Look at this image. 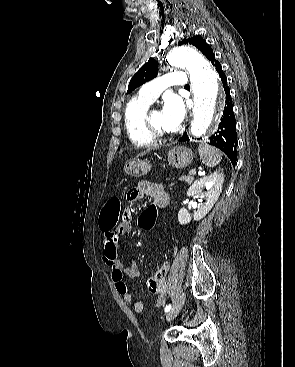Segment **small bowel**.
Listing matches in <instances>:
<instances>
[{
  "instance_id": "c3829d8e",
  "label": "small bowel",
  "mask_w": 295,
  "mask_h": 367,
  "mask_svg": "<svg viewBox=\"0 0 295 367\" xmlns=\"http://www.w3.org/2000/svg\"><path fill=\"white\" fill-rule=\"evenodd\" d=\"M144 196H151L153 201L160 206L168 202V195L163 186L149 181H141L136 187L129 190L127 200L135 203L140 201ZM134 214V208H124L122 222L113 229L102 230L105 236L102 259L104 264L111 269V278L117 292L123 297L126 303L133 305L135 312L140 313L143 311V304L140 301L134 300L124 281L125 276L133 279L139 275V269L134 260V253H129L127 264L123 263L118 257L120 238L129 230ZM169 267V263L165 261L148 279L149 290L158 294L156 300L157 307L163 306L166 301V278Z\"/></svg>"
}]
</instances>
